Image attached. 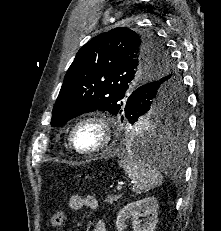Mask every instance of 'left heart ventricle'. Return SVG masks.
<instances>
[{"instance_id":"obj_1","label":"left heart ventricle","mask_w":221,"mask_h":231,"mask_svg":"<svg viewBox=\"0 0 221 231\" xmlns=\"http://www.w3.org/2000/svg\"><path fill=\"white\" fill-rule=\"evenodd\" d=\"M102 141L101 127L96 123L82 125L76 133V144L82 150H91Z\"/></svg>"}]
</instances>
